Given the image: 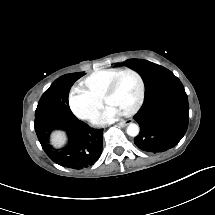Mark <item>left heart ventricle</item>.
<instances>
[{
    "label": "left heart ventricle",
    "instance_id": "left-heart-ventricle-1",
    "mask_svg": "<svg viewBox=\"0 0 215 215\" xmlns=\"http://www.w3.org/2000/svg\"><path fill=\"white\" fill-rule=\"evenodd\" d=\"M135 92V81L129 75L123 76V81L117 92L113 93L111 100L113 104L120 106L122 104H131Z\"/></svg>",
    "mask_w": 215,
    "mask_h": 215
}]
</instances>
